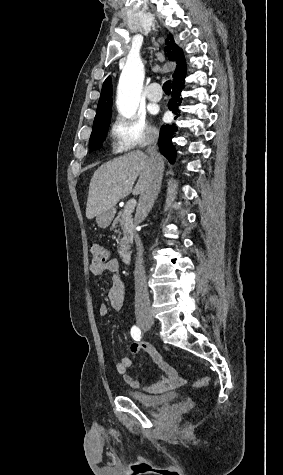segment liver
<instances>
[{
    "label": "liver",
    "instance_id": "liver-1",
    "mask_svg": "<svg viewBox=\"0 0 283 475\" xmlns=\"http://www.w3.org/2000/svg\"><path fill=\"white\" fill-rule=\"evenodd\" d=\"M149 168V156L140 150L124 154L100 166L91 178L86 218L93 220L105 210L115 208L116 204L131 192L134 196L143 194L148 184ZM138 176L139 180L133 190V184Z\"/></svg>",
    "mask_w": 283,
    "mask_h": 475
}]
</instances>
